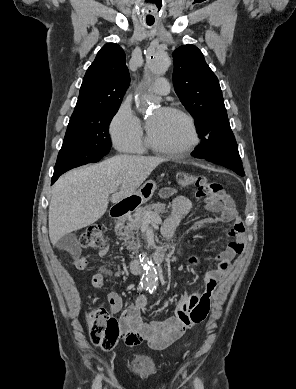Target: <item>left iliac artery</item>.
Returning a JSON list of instances; mask_svg holds the SVG:
<instances>
[{
	"instance_id": "left-iliac-artery-1",
	"label": "left iliac artery",
	"mask_w": 296,
	"mask_h": 389,
	"mask_svg": "<svg viewBox=\"0 0 296 389\" xmlns=\"http://www.w3.org/2000/svg\"><path fill=\"white\" fill-rule=\"evenodd\" d=\"M196 387L197 389H203V385L201 384L200 380L199 379H196Z\"/></svg>"
}]
</instances>
